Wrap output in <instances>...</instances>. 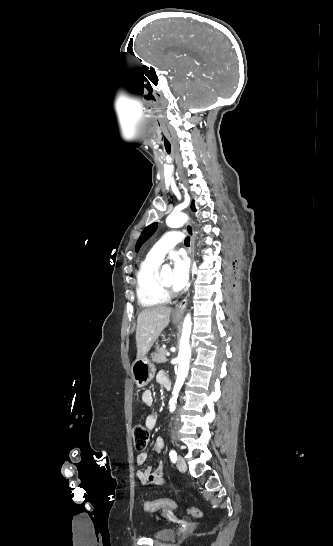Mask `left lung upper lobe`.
<instances>
[{"mask_svg": "<svg viewBox=\"0 0 333 546\" xmlns=\"http://www.w3.org/2000/svg\"><path fill=\"white\" fill-rule=\"evenodd\" d=\"M191 207L193 211H196L194 202H192ZM156 229H157V223H152L143 230L141 236L139 237L136 243V247H135L136 251L139 250L140 246L154 233Z\"/></svg>", "mask_w": 333, "mask_h": 546, "instance_id": "left-lung-upper-lobe-1", "label": "left lung upper lobe"}]
</instances>
